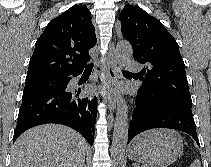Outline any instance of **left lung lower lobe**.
<instances>
[{"label": "left lung lower lobe", "mask_w": 211, "mask_h": 167, "mask_svg": "<svg viewBox=\"0 0 211 167\" xmlns=\"http://www.w3.org/2000/svg\"><path fill=\"white\" fill-rule=\"evenodd\" d=\"M135 105L128 131V142L145 130L170 128L188 133L199 145L191 108L148 96L141 91L137 93Z\"/></svg>", "instance_id": "obj_1"}]
</instances>
